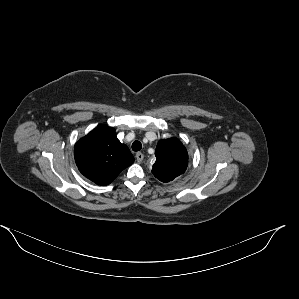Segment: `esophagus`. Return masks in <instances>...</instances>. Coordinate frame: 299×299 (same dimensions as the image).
Returning a JSON list of instances; mask_svg holds the SVG:
<instances>
[{
    "instance_id": "esophagus-1",
    "label": "esophagus",
    "mask_w": 299,
    "mask_h": 299,
    "mask_svg": "<svg viewBox=\"0 0 299 299\" xmlns=\"http://www.w3.org/2000/svg\"><path fill=\"white\" fill-rule=\"evenodd\" d=\"M144 158V155L141 152L136 153V160L137 162H141Z\"/></svg>"
}]
</instances>
